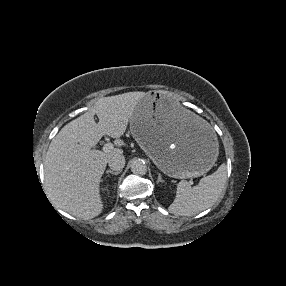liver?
<instances>
[{
  "mask_svg": "<svg viewBox=\"0 0 286 286\" xmlns=\"http://www.w3.org/2000/svg\"><path fill=\"white\" fill-rule=\"evenodd\" d=\"M144 96V92H128L99 98L94 109L66 124L52 139L44 160V177L54 205L86 220L102 212L101 177L110 158L123 154L122 144L118 142L119 147L108 153L91 148L104 135L119 139Z\"/></svg>",
  "mask_w": 286,
  "mask_h": 286,
  "instance_id": "obj_1",
  "label": "liver"
}]
</instances>
